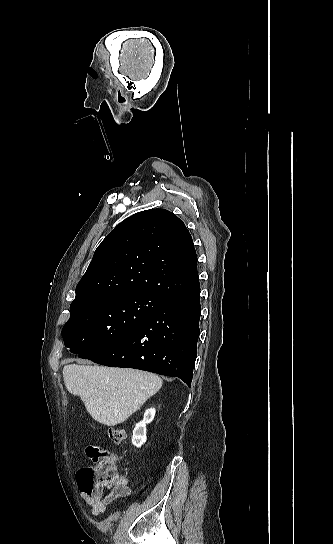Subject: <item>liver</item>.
Here are the masks:
<instances>
[{"instance_id": "6515ba94", "label": "liver", "mask_w": 333, "mask_h": 544, "mask_svg": "<svg viewBox=\"0 0 333 544\" xmlns=\"http://www.w3.org/2000/svg\"><path fill=\"white\" fill-rule=\"evenodd\" d=\"M63 379L92 418L107 426L127 420L162 386V379L153 373L77 364L64 366Z\"/></svg>"}]
</instances>
